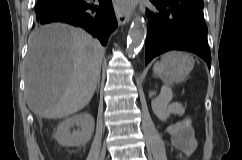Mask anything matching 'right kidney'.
<instances>
[{
	"label": "right kidney",
	"mask_w": 242,
	"mask_h": 160,
	"mask_svg": "<svg viewBox=\"0 0 242 160\" xmlns=\"http://www.w3.org/2000/svg\"><path fill=\"white\" fill-rule=\"evenodd\" d=\"M80 127L77 131L71 132L74 126ZM95 122L88 113H80L65 119L57 127L54 138L61 146H81L91 139L94 132Z\"/></svg>",
	"instance_id": "ca27d5eb"
}]
</instances>
